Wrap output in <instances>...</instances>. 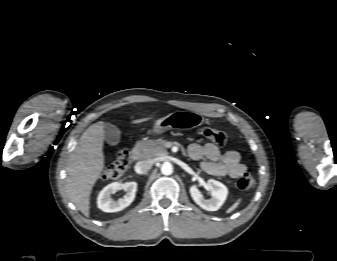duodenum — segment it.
Returning <instances> with one entry per match:
<instances>
[{"mask_svg":"<svg viewBox=\"0 0 337 261\" xmlns=\"http://www.w3.org/2000/svg\"><path fill=\"white\" fill-rule=\"evenodd\" d=\"M131 158L133 160H138L140 158V149L138 146H135L131 151Z\"/></svg>","mask_w":337,"mask_h":261,"instance_id":"duodenum-1","label":"duodenum"}]
</instances>
